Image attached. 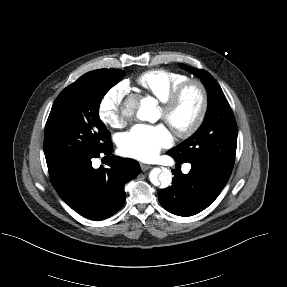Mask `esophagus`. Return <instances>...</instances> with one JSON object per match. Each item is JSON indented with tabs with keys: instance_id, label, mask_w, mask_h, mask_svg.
<instances>
[{
	"instance_id": "34e87169",
	"label": "esophagus",
	"mask_w": 287,
	"mask_h": 287,
	"mask_svg": "<svg viewBox=\"0 0 287 287\" xmlns=\"http://www.w3.org/2000/svg\"><path fill=\"white\" fill-rule=\"evenodd\" d=\"M142 171H146L148 169H150L152 166L151 165H147V164H140Z\"/></svg>"
}]
</instances>
